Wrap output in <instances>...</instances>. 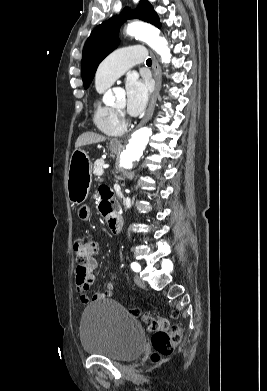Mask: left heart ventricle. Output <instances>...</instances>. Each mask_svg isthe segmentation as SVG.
<instances>
[{
	"label": "left heart ventricle",
	"mask_w": 267,
	"mask_h": 391,
	"mask_svg": "<svg viewBox=\"0 0 267 391\" xmlns=\"http://www.w3.org/2000/svg\"><path fill=\"white\" fill-rule=\"evenodd\" d=\"M124 105H125V100L124 99H121L119 102H118V104L116 105V109H121V108H123L124 107Z\"/></svg>",
	"instance_id": "left-heart-ventricle-1"
}]
</instances>
